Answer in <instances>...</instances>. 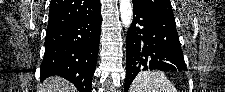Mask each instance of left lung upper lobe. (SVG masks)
<instances>
[{
    "label": "left lung upper lobe",
    "mask_w": 225,
    "mask_h": 92,
    "mask_svg": "<svg viewBox=\"0 0 225 92\" xmlns=\"http://www.w3.org/2000/svg\"><path fill=\"white\" fill-rule=\"evenodd\" d=\"M133 6L147 12L174 19L170 0H132Z\"/></svg>",
    "instance_id": "left-lung-upper-lobe-1"
}]
</instances>
